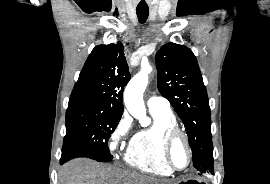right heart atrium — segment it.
<instances>
[{"mask_svg":"<svg viewBox=\"0 0 270 184\" xmlns=\"http://www.w3.org/2000/svg\"><path fill=\"white\" fill-rule=\"evenodd\" d=\"M131 129L132 119L127 112H124L115 124L109 137L108 147L111 152H115L126 143H130Z\"/></svg>","mask_w":270,"mask_h":184,"instance_id":"right-heart-atrium-1","label":"right heart atrium"}]
</instances>
